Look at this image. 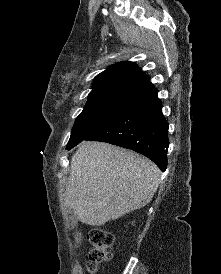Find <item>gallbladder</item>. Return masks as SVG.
I'll return each mask as SVG.
<instances>
[{"instance_id": "1", "label": "gallbladder", "mask_w": 221, "mask_h": 274, "mask_svg": "<svg viewBox=\"0 0 221 274\" xmlns=\"http://www.w3.org/2000/svg\"><path fill=\"white\" fill-rule=\"evenodd\" d=\"M71 221L74 222V224L77 223L78 221V217L76 215V213L74 211L71 212V217H70Z\"/></svg>"}]
</instances>
